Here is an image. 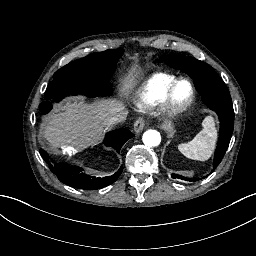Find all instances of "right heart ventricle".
<instances>
[{"label":"right heart ventricle","mask_w":256,"mask_h":256,"mask_svg":"<svg viewBox=\"0 0 256 256\" xmlns=\"http://www.w3.org/2000/svg\"><path fill=\"white\" fill-rule=\"evenodd\" d=\"M177 80L178 77L173 74L155 73L143 83V94L140 100H147L153 104L160 103Z\"/></svg>","instance_id":"1"}]
</instances>
